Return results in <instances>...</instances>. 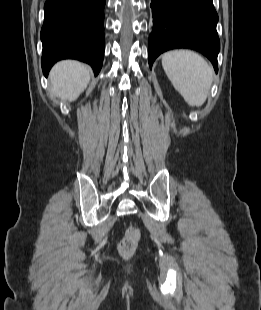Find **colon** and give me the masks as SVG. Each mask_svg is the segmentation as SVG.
I'll return each instance as SVG.
<instances>
[{
    "mask_svg": "<svg viewBox=\"0 0 261 310\" xmlns=\"http://www.w3.org/2000/svg\"><path fill=\"white\" fill-rule=\"evenodd\" d=\"M139 239V230L134 226L128 227L124 237L121 239L118 245L120 255L124 258L131 257L138 247Z\"/></svg>",
    "mask_w": 261,
    "mask_h": 310,
    "instance_id": "obj_1",
    "label": "colon"
}]
</instances>
